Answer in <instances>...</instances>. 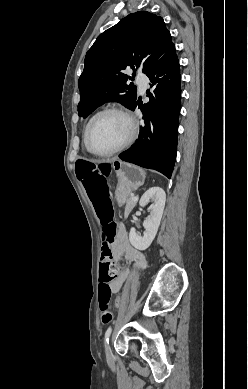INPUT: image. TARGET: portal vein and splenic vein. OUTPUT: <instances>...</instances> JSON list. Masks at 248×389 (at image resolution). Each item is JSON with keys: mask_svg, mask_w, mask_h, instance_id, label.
I'll use <instances>...</instances> for the list:
<instances>
[{"mask_svg": "<svg viewBox=\"0 0 248 389\" xmlns=\"http://www.w3.org/2000/svg\"><path fill=\"white\" fill-rule=\"evenodd\" d=\"M134 200H137L138 199V197L137 196H131Z\"/></svg>", "mask_w": 248, "mask_h": 389, "instance_id": "portal-vein-and-splenic-vein-1", "label": "portal vein and splenic vein"}]
</instances>
